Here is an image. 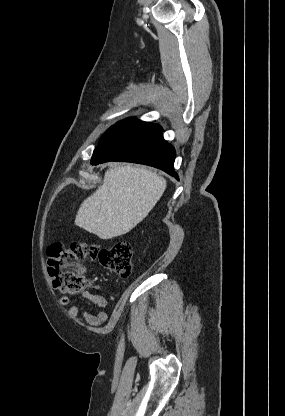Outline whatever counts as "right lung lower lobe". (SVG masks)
Wrapping results in <instances>:
<instances>
[{"mask_svg":"<svg viewBox=\"0 0 285 416\" xmlns=\"http://www.w3.org/2000/svg\"><path fill=\"white\" fill-rule=\"evenodd\" d=\"M158 124L138 122L100 143L91 164L125 161L159 168L178 179L174 171L175 149L163 139Z\"/></svg>","mask_w":285,"mask_h":416,"instance_id":"obj_1","label":"right lung lower lobe"}]
</instances>
